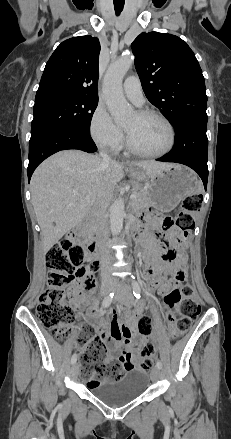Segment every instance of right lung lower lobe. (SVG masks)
<instances>
[{
	"label": "right lung lower lobe",
	"instance_id": "right-lung-lower-lobe-1",
	"mask_svg": "<svg viewBox=\"0 0 231 439\" xmlns=\"http://www.w3.org/2000/svg\"><path fill=\"white\" fill-rule=\"evenodd\" d=\"M66 149H79L88 153L97 150L90 132L71 126H61L43 132L29 142L28 180L36 167L50 155Z\"/></svg>",
	"mask_w": 231,
	"mask_h": 439
}]
</instances>
